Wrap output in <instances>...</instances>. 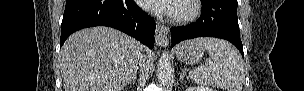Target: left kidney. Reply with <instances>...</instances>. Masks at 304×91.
Here are the masks:
<instances>
[{
    "label": "left kidney",
    "mask_w": 304,
    "mask_h": 91,
    "mask_svg": "<svg viewBox=\"0 0 304 91\" xmlns=\"http://www.w3.org/2000/svg\"><path fill=\"white\" fill-rule=\"evenodd\" d=\"M186 91H213V89L207 86H198L187 88Z\"/></svg>",
    "instance_id": "left-kidney-1"
}]
</instances>
